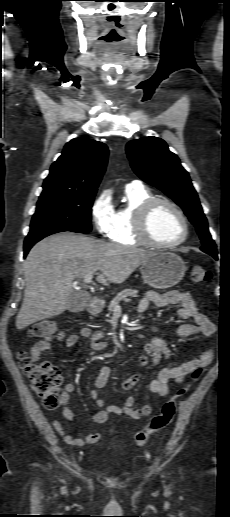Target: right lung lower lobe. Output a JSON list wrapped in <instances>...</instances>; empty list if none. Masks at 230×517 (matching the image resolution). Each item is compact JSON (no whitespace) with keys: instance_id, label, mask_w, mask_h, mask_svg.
Wrapping results in <instances>:
<instances>
[{"instance_id":"obj_1","label":"right lung lower lobe","mask_w":230,"mask_h":517,"mask_svg":"<svg viewBox=\"0 0 230 517\" xmlns=\"http://www.w3.org/2000/svg\"><path fill=\"white\" fill-rule=\"evenodd\" d=\"M63 231H69V230L59 229V230H54V231L46 232V233H43V234L27 236L26 239H25V242H24V257L27 255V253L30 250V248L36 242L40 241L41 239H43L46 236H49L51 234L58 233V232H63Z\"/></svg>"}]
</instances>
